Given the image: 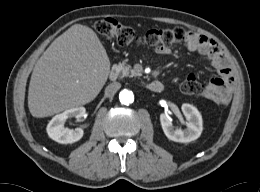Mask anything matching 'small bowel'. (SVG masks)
I'll return each mask as SVG.
<instances>
[{"mask_svg":"<svg viewBox=\"0 0 260 192\" xmlns=\"http://www.w3.org/2000/svg\"><path fill=\"white\" fill-rule=\"evenodd\" d=\"M185 44L191 52L207 56L216 69V76L203 86L200 95L216 103L227 104L234 91L236 79L220 46L214 40L195 32L187 33ZM155 51L158 54L171 52L169 47L156 48Z\"/></svg>","mask_w":260,"mask_h":192,"instance_id":"small-bowel-1","label":"small bowel"}]
</instances>
